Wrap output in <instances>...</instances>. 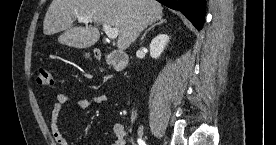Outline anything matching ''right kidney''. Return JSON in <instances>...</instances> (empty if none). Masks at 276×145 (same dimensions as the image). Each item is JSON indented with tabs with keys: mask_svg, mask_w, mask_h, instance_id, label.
Instances as JSON below:
<instances>
[{
	"mask_svg": "<svg viewBox=\"0 0 276 145\" xmlns=\"http://www.w3.org/2000/svg\"><path fill=\"white\" fill-rule=\"evenodd\" d=\"M169 42V36L166 34L157 35L150 43V55L152 58L157 59L163 50L165 49L167 43Z\"/></svg>",
	"mask_w": 276,
	"mask_h": 145,
	"instance_id": "right-kidney-1",
	"label": "right kidney"
}]
</instances>
